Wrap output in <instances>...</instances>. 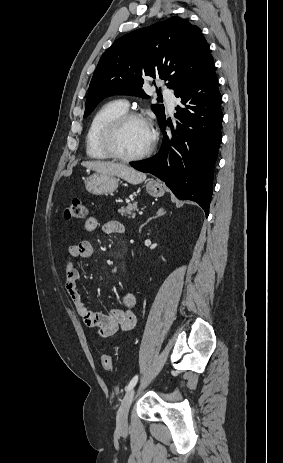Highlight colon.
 Instances as JSON below:
<instances>
[{
    "label": "colon",
    "mask_w": 283,
    "mask_h": 463,
    "mask_svg": "<svg viewBox=\"0 0 283 463\" xmlns=\"http://www.w3.org/2000/svg\"><path fill=\"white\" fill-rule=\"evenodd\" d=\"M87 215V205L85 201L81 199H75L73 200L65 209L64 211V217L67 220H80L85 218ZM101 363L103 368L106 371H112L113 370V358L109 354H104L101 357Z\"/></svg>",
    "instance_id": "colon-1"
}]
</instances>
